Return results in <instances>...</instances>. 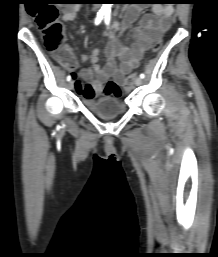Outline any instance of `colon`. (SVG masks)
<instances>
[{
	"label": "colon",
	"instance_id": "5ec220e1",
	"mask_svg": "<svg viewBox=\"0 0 218 257\" xmlns=\"http://www.w3.org/2000/svg\"><path fill=\"white\" fill-rule=\"evenodd\" d=\"M57 5H25V10H33L32 15L35 22L42 32L43 40L49 51L55 53L59 60H64L65 54L61 51L63 41V28L58 21ZM161 47V41L158 40L153 44L152 51L157 52ZM135 75H130L125 83L124 88H132ZM101 89L102 98H123L124 89L118 85L115 79H106Z\"/></svg>",
	"mask_w": 218,
	"mask_h": 257
}]
</instances>
